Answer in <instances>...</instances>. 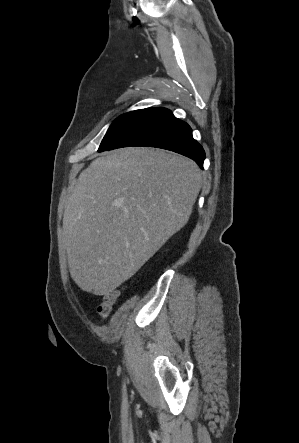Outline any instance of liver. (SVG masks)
Masks as SVG:
<instances>
[{"label":"liver","mask_w":299,"mask_h":443,"mask_svg":"<svg viewBox=\"0 0 299 443\" xmlns=\"http://www.w3.org/2000/svg\"><path fill=\"white\" fill-rule=\"evenodd\" d=\"M202 186L191 159L124 148L83 170L65 205L64 243L79 288L109 295L188 222Z\"/></svg>","instance_id":"obj_1"}]
</instances>
